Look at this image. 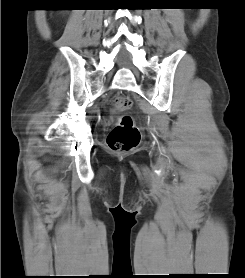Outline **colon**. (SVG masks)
I'll return each instance as SVG.
<instances>
[{
    "label": "colon",
    "mask_w": 245,
    "mask_h": 278,
    "mask_svg": "<svg viewBox=\"0 0 245 278\" xmlns=\"http://www.w3.org/2000/svg\"><path fill=\"white\" fill-rule=\"evenodd\" d=\"M131 105L132 100L129 96L124 94H118L116 96L114 101V109L116 111L127 110ZM140 138V130L133 118L129 115H123L110 131L107 142L112 150L129 151L139 144Z\"/></svg>",
    "instance_id": "5ec220e1"
}]
</instances>
